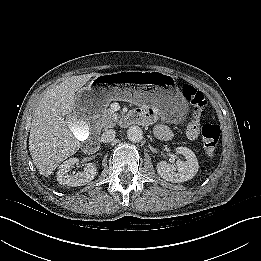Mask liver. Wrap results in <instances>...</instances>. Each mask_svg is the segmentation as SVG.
Wrapping results in <instances>:
<instances>
[{"mask_svg": "<svg viewBox=\"0 0 261 261\" xmlns=\"http://www.w3.org/2000/svg\"><path fill=\"white\" fill-rule=\"evenodd\" d=\"M90 73L71 76L60 84L51 86L35 109L29 136V151L40 175L48 177L68 157L80 148L65 116L76 110L75 98L91 77Z\"/></svg>", "mask_w": 261, "mask_h": 261, "instance_id": "obj_1", "label": "liver"}]
</instances>
